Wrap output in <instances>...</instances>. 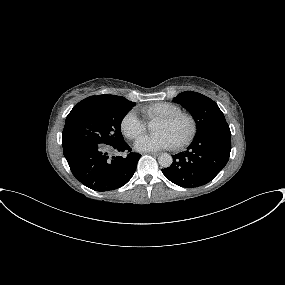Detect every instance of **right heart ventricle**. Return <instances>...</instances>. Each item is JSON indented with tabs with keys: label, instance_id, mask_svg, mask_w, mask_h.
<instances>
[{
	"label": "right heart ventricle",
	"instance_id": "obj_1",
	"mask_svg": "<svg viewBox=\"0 0 285 285\" xmlns=\"http://www.w3.org/2000/svg\"><path fill=\"white\" fill-rule=\"evenodd\" d=\"M142 113L150 120L171 115L181 111V108L170 102H157L141 109Z\"/></svg>",
	"mask_w": 285,
	"mask_h": 285
}]
</instances>
